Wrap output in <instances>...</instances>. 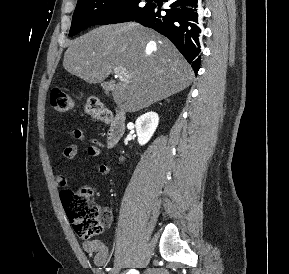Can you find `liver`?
<instances>
[{
    "label": "liver",
    "instance_id": "obj_1",
    "mask_svg": "<svg viewBox=\"0 0 289 274\" xmlns=\"http://www.w3.org/2000/svg\"><path fill=\"white\" fill-rule=\"evenodd\" d=\"M127 77L111 87L114 101L136 112L190 86L194 73L165 37L137 23L100 26L70 41L63 67L88 83L104 81L115 67Z\"/></svg>",
    "mask_w": 289,
    "mask_h": 274
}]
</instances>
